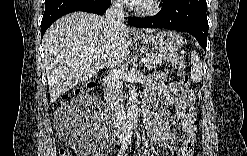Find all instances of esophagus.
<instances>
[{"label": "esophagus", "instance_id": "obj_1", "mask_svg": "<svg viewBox=\"0 0 247 156\" xmlns=\"http://www.w3.org/2000/svg\"><path fill=\"white\" fill-rule=\"evenodd\" d=\"M132 31H133L134 33H138V32H139V30L136 29L135 27L132 28Z\"/></svg>", "mask_w": 247, "mask_h": 156}]
</instances>
